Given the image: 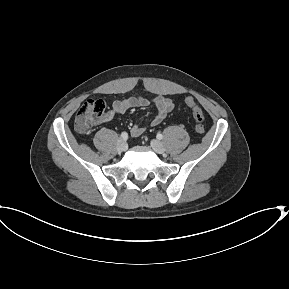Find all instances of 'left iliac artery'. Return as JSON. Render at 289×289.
Returning a JSON list of instances; mask_svg holds the SVG:
<instances>
[{
	"mask_svg": "<svg viewBox=\"0 0 289 289\" xmlns=\"http://www.w3.org/2000/svg\"><path fill=\"white\" fill-rule=\"evenodd\" d=\"M159 140H161L163 138V135L161 133H158L156 136Z\"/></svg>",
	"mask_w": 289,
	"mask_h": 289,
	"instance_id": "44dca946",
	"label": "left iliac artery"
}]
</instances>
